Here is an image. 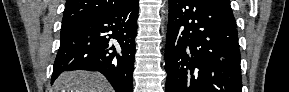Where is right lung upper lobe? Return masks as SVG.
Masks as SVG:
<instances>
[{
    "mask_svg": "<svg viewBox=\"0 0 289 92\" xmlns=\"http://www.w3.org/2000/svg\"><path fill=\"white\" fill-rule=\"evenodd\" d=\"M133 1L134 0H67L62 26H72L86 18L125 7Z\"/></svg>",
    "mask_w": 289,
    "mask_h": 92,
    "instance_id": "right-lung-upper-lobe-1",
    "label": "right lung upper lobe"
}]
</instances>
